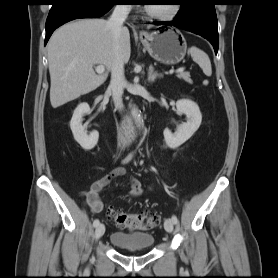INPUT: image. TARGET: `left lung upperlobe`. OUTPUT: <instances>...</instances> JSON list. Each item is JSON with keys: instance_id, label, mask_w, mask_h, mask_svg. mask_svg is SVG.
I'll list each match as a JSON object with an SVG mask.
<instances>
[{"instance_id": "obj_1", "label": "left lung upper lobe", "mask_w": 278, "mask_h": 278, "mask_svg": "<svg viewBox=\"0 0 278 278\" xmlns=\"http://www.w3.org/2000/svg\"><path fill=\"white\" fill-rule=\"evenodd\" d=\"M192 1H194V0H178L179 5H181L180 10H184L186 8H189L192 5Z\"/></svg>"}]
</instances>
